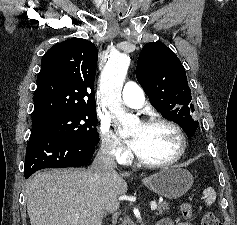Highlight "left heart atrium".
I'll return each instance as SVG.
<instances>
[{
  "label": "left heart atrium",
  "instance_id": "1",
  "mask_svg": "<svg viewBox=\"0 0 237 225\" xmlns=\"http://www.w3.org/2000/svg\"><path fill=\"white\" fill-rule=\"evenodd\" d=\"M130 146L131 148L136 152V149H137V141L135 139H132L130 141Z\"/></svg>",
  "mask_w": 237,
  "mask_h": 225
}]
</instances>
